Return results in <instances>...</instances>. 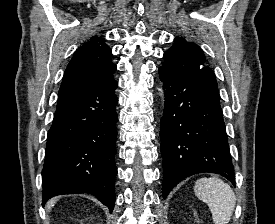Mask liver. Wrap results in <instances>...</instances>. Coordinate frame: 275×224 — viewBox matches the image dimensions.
<instances>
[{
  "instance_id": "obj_1",
  "label": "liver",
  "mask_w": 275,
  "mask_h": 224,
  "mask_svg": "<svg viewBox=\"0 0 275 224\" xmlns=\"http://www.w3.org/2000/svg\"><path fill=\"white\" fill-rule=\"evenodd\" d=\"M53 206V202L51 201L50 203H48V208L50 209Z\"/></svg>"
}]
</instances>
